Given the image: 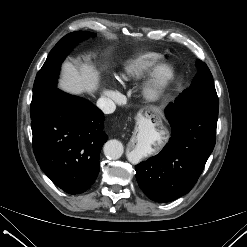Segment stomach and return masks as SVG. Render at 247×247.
Returning <instances> with one entry per match:
<instances>
[{
    "mask_svg": "<svg viewBox=\"0 0 247 247\" xmlns=\"http://www.w3.org/2000/svg\"><path fill=\"white\" fill-rule=\"evenodd\" d=\"M150 112H151V115L148 114V113H150ZM151 116H154V117L160 119V111L157 110V109H155V108L148 109L147 111H145L144 114H141V115L139 116V121H138L139 125H147L148 122H149L148 119H150Z\"/></svg>",
    "mask_w": 247,
    "mask_h": 247,
    "instance_id": "1",
    "label": "stomach"
}]
</instances>
